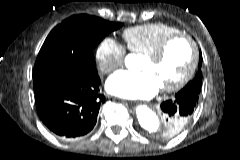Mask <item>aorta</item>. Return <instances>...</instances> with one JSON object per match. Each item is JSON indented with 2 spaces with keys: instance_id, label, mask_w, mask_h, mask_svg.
Returning <instances> with one entry per match:
<instances>
[{
  "instance_id": "aorta-1",
  "label": "aorta",
  "mask_w": 240,
  "mask_h": 160,
  "mask_svg": "<svg viewBox=\"0 0 240 160\" xmlns=\"http://www.w3.org/2000/svg\"><path fill=\"white\" fill-rule=\"evenodd\" d=\"M135 113L140 126L148 133H157L160 127V121L156 113L146 105H139Z\"/></svg>"
}]
</instances>
